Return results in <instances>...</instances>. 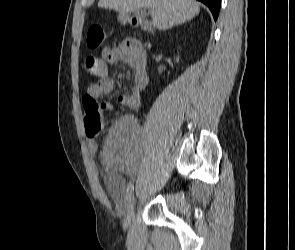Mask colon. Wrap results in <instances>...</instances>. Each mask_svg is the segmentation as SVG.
I'll list each match as a JSON object with an SVG mask.
<instances>
[{"mask_svg": "<svg viewBox=\"0 0 295 250\" xmlns=\"http://www.w3.org/2000/svg\"><path fill=\"white\" fill-rule=\"evenodd\" d=\"M105 39V32L99 26L90 28L87 36L88 45L97 48ZM100 60L95 55H87L84 59V69L91 76H98L100 72ZM84 126L88 137H95L104 128V113L102 105H99L91 96H84Z\"/></svg>", "mask_w": 295, "mask_h": 250, "instance_id": "colon-1", "label": "colon"}]
</instances>
